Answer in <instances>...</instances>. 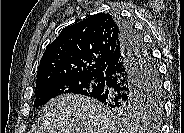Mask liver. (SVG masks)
I'll return each mask as SVG.
<instances>
[{
  "label": "liver",
  "mask_w": 184,
  "mask_h": 133,
  "mask_svg": "<svg viewBox=\"0 0 184 133\" xmlns=\"http://www.w3.org/2000/svg\"><path fill=\"white\" fill-rule=\"evenodd\" d=\"M37 133H143V128L118 117L95 99L60 95L42 108Z\"/></svg>",
  "instance_id": "6515ba94"
}]
</instances>
